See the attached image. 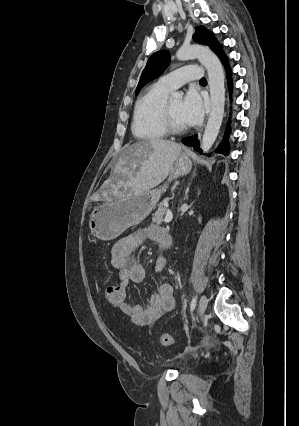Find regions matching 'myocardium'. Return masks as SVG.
<instances>
[{"label": "myocardium", "mask_w": 299, "mask_h": 426, "mask_svg": "<svg viewBox=\"0 0 299 426\" xmlns=\"http://www.w3.org/2000/svg\"><path fill=\"white\" fill-rule=\"evenodd\" d=\"M163 125L167 133L170 134H180L186 131L185 125H178L174 121L168 101H166L163 108Z\"/></svg>", "instance_id": "1"}]
</instances>
